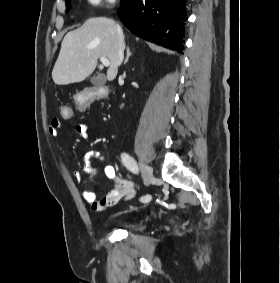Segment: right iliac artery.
<instances>
[{"label": "right iliac artery", "mask_w": 280, "mask_h": 283, "mask_svg": "<svg viewBox=\"0 0 280 283\" xmlns=\"http://www.w3.org/2000/svg\"><path fill=\"white\" fill-rule=\"evenodd\" d=\"M121 159L125 167L133 173H138L139 169L135 160L127 153L121 154ZM151 199L150 195H144L140 198V202L148 203Z\"/></svg>", "instance_id": "obj_1"}]
</instances>
